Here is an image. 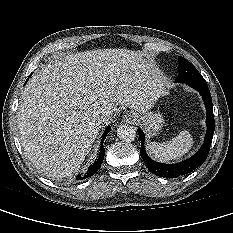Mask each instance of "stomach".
<instances>
[{
	"label": "stomach",
	"instance_id": "stomach-1",
	"mask_svg": "<svg viewBox=\"0 0 233 233\" xmlns=\"http://www.w3.org/2000/svg\"><path fill=\"white\" fill-rule=\"evenodd\" d=\"M139 120L148 137L156 136L164 125L163 116L159 112L141 113Z\"/></svg>",
	"mask_w": 233,
	"mask_h": 233
}]
</instances>
